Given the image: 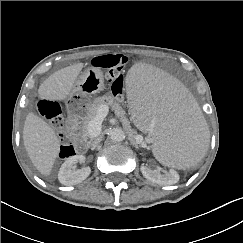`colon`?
I'll use <instances>...</instances> for the list:
<instances>
[{
	"label": "colon",
	"mask_w": 243,
	"mask_h": 243,
	"mask_svg": "<svg viewBox=\"0 0 243 243\" xmlns=\"http://www.w3.org/2000/svg\"><path fill=\"white\" fill-rule=\"evenodd\" d=\"M127 58L124 55H101L93 59V66L106 71V77L112 82L113 94L121 98L124 93V81L122 71L126 65ZM39 112L51 124L61 132L60 157L69 158L75 154L77 139L64 130V117L62 108L56 101L42 99L38 104Z\"/></svg>",
	"instance_id": "1"
}]
</instances>
